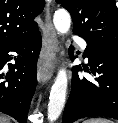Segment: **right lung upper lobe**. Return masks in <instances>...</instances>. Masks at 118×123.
Wrapping results in <instances>:
<instances>
[{"label":"right lung upper lobe","mask_w":118,"mask_h":123,"mask_svg":"<svg viewBox=\"0 0 118 123\" xmlns=\"http://www.w3.org/2000/svg\"><path fill=\"white\" fill-rule=\"evenodd\" d=\"M44 0H0V46L26 40L38 32L34 18Z\"/></svg>","instance_id":"cb5924a9"}]
</instances>
